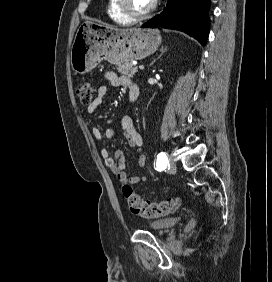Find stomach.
Here are the masks:
<instances>
[{
    "label": "stomach",
    "instance_id": "stomach-1",
    "mask_svg": "<svg viewBox=\"0 0 272 282\" xmlns=\"http://www.w3.org/2000/svg\"><path fill=\"white\" fill-rule=\"evenodd\" d=\"M161 43L154 29H119L99 23H84L77 31L71 47V66L84 74L101 61L112 64L130 63L153 54Z\"/></svg>",
    "mask_w": 272,
    "mask_h": 282
}]
</instances>
